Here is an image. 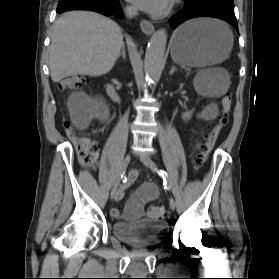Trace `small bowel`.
<instances>
[{"mask_svg": "<svg viewBox=\"0 0 279 279\" xmlns=\"http://www.w3.org/2000/svg\"><path fill=\"white\" fill-rule=\"evenodd\" d=\"M68 106L73 122L81 129H85L93 119H98L103 123L109 121V113L101 99L92 98L83 92H77L70 96ZM218 107L216 104H209L201 113L205 120L214 119L217 116ZM137 176L133 171L129 175L128 184L132 183ZM158 188L153 183L142 184L127 201L123 213L113 208L111 214L115 218H125L135 220L142 216L143 207L147 202L157 198ZM121 196V194H119Z\"/></svg>", "mask_w": 279, "mask_h": 279, "instance_id": "obj_1", "label": "small bowel"}]
</instances>
